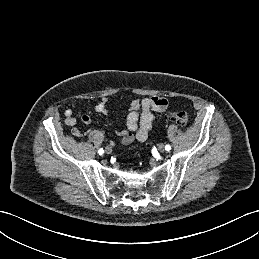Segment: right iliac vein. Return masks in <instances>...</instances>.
Listing matches in <instances>:
<instances>
[{
  "label": "right iliac vein",
  "instance_id": "right-iliac-vein-1",
  "mask_svg": "<svg viewBox=\"0 0 259 259\" xmlns=\"http://www.w3.org/2000/svg\"><path fill=\"white\" fill-rule=\"evenodd\" d=\"M105 152H106L107 154H111V153H112V148H111L110 146H107V147L105 148Z\"/></svg>",
  "mask_w": 259,
  "mask_h": 259
}]
</instances>
